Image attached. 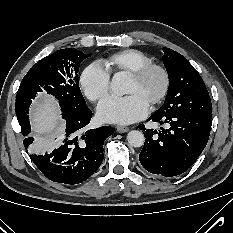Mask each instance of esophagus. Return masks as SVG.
Listing matches in <instances>:
<instances>
[{"label": "esophagus", "instance_id": "esophagus-1", "mask_svg": "<svg viewBox=\"0 0 233 233\" xmlns=\"http://www.w3.org/2000/svg\"><path fill=\"white\" fill-rule=\"evenodd\" d=\"M116 130H117L119 133H125V132L129 131V128L126 127V126H117V127H116Z\"/></svg>", "mask_w": 233, "mask_h": 233}]
</instances>
